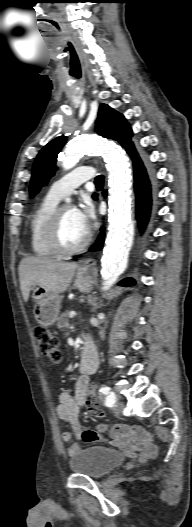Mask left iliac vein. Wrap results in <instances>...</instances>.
<instances>
[{"mask_svg":"<svg viewBox=\"0 0 192 527\" xmlns=\"http://www.w3.org/2000/svg\"><path fill=\"white\" fill-rule=\"evenodd\" d=\"M124 406H125V405H124L123 402L118 401V402L114 405V407H113V412H114L115 414H117V415H121V414H122V411H123V409H124Z\"/></svg>","mask_w":192,"mask_h":527,"instance_id":"4c4485c4","label":"left iliac vein"}]
</instances>
